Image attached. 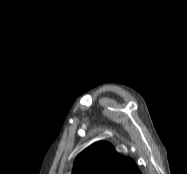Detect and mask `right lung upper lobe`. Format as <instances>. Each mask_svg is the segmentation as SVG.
Segmentation results:
<instances>
[{"mask_svg": "<svg viewBox=\"0 0 187 174\" xmlns=\"http://www.w3.org/2000/svg\"><path fill=\"white\" fill-rule=\"evenodd\" d=\"M72 174H141L133 159L119 155L113 146L99 141L75 160Z\"/></svg>", "mask_w": 187, "mask_h": 174, "instance_id": "1", "label": "right lung upper lobe"}]
</instances>
